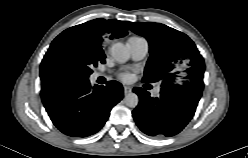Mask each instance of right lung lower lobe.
<instances>
[{"label": "right lung lower lobe", "instance_id": "98d812e1", "mask_svg": "<svg viewBox=\"0 0 248 158\" xmlns=\"http://www.w3.org/2000/svg\"><path fill=\"white\" fill-rule=\"evenodd\" d=\"M41 98L50 119L62 133L86 137L103 127L112 107L123 98V87L117 81L92 87L88 80L51 87L41 92Z\"/></svg>", "mask_w": 248, "mask_h": 158}]
</instances>
